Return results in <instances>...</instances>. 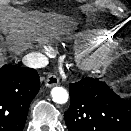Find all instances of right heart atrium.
<instances>
[{"instance_id": "1", "label": "right heart atrium", "mask_w": 131, "mask_h": 131, "mask_svg": "<svg viewBox=\"0 0 131 131\" xmlns=\"http://www.w3.org/2000/svg\"><path fill=\"white\" fill-rule=\"evenodd\" d=\"M50 47H44V51L48 52Z\"/></svg>"}]
</instances>
